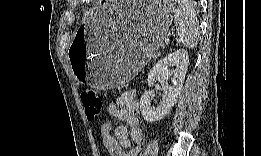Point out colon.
<instances>
[{
	"instance_id": "5ec220e1",
	"label": "colon",
	"mask_w": 261,
	"mask_h": 156,
	"mask_svg": "<svg viewBox=\"0 0 261 156\" xmlns=\"http://www.w3.org/2000/svg\"><path fill=\"white\" fill-rule=\"evenodd\" d=\"M81 100L85 108L86 117L88 120L93 121L103 108L102 97L97 91L87 89L81 93Z\"/></svg>"
}]
</instances>
